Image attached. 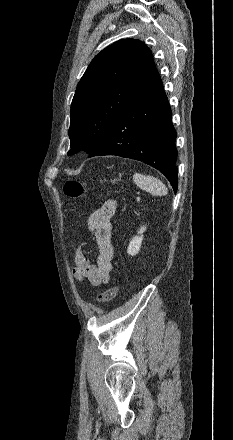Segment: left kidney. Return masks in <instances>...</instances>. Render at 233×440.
I'll list each match as a JSON object with an SVG mask.
<instances>
[{"label":"left kidney","mask_w":233,"mask_h":440,"mask_svg":"<svg viewBox=\"0 0 233 440\" xmlns=\"http://www.w3.org/2000/svg\"><path fill=\"white\" fill-rule=\"evenodd\" d=\"M146 231V226H141L138 235L132 238L129 243L127 253L131 256H135L140 251V247L143 240V233Z\"/></svg>","instance_id":"left-kidney-1"}]
</instances>
